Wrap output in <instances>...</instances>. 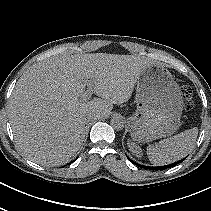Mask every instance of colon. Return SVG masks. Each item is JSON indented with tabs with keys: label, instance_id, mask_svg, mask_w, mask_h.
<instances>
[{
	"label": "colon",
	"instance_id": "obj_1",
	"mask_svg": "<svg viewBox=\"0 0 211 211\" xmlns=\"http://www.w3.org/2000/svg\"><path fill=\"white\" fill-rule=\"evenodd\" d=\"M181 93H182V96L186 102V106L188 109H190L192 107V97H193V93H192V89L187 86V85H184L182 87V90H181Z\"/></svg>",
	"mask_w": 211,
	"mask_h": 211
}]
</instances>
